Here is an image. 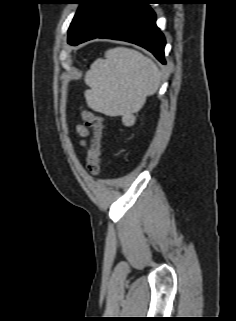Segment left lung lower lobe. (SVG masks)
I'll list each match as a JSON object with an SVG mask.
<instances>
[{
	"label": "left lung lower lobe",
	"mask_w": 236,
	"mask_h": 321,
	"mask_svg": "<svg viewBox=\"0 0 236 321\" xmlns=\"http://www.w3.org/2000/svg\"><path fill=\"white\" fill-rule=\"evenodd\" d=\"M154 3V0H94L68 43L76 46L95 38L128 41L146 48L165 64V38L149 6Z\"/></svg>",
	"instance_id": "1"
}]
</instances>
